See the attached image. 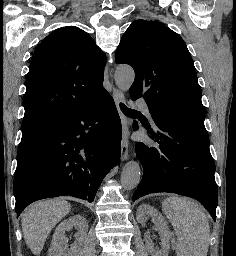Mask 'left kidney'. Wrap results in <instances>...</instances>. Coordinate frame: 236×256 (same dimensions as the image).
Segmentation results:
<instances>
[{
  "label": "left kidney",
  "instance_id": "5707ae66",
  "mask_svg": "<svg viewBox=\"0 0 236 256\" xmlns=\"http://www.w3.org/2000/svg\"><path fill=\"white\" fill-rule=\"evenodd\" d=\"M146 216H151L155 226H157L162 246V250H155L152 240H150L149 236H145V244L149 252V256H168L170 250V234L160 212L155 210V208H152V206L142 204V206H139L136 212V220L138 224H144V222L147 220Z\"/></svg>",
  "mask_w": 236,
  "mask_h": 256
}]
</instances>
